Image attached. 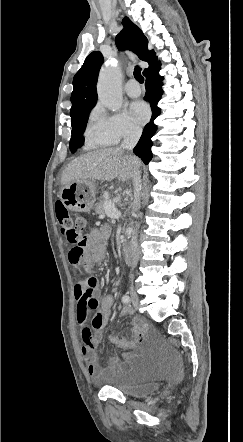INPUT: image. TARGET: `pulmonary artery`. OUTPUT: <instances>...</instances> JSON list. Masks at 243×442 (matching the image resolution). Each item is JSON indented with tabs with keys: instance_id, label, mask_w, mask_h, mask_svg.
<instances>
[{
	"instance_id": "pulmonary-artery-1",
	"label": "pulmonary artery",
	"mask_w": 243,
	"mask_h": 442,
	"mask_svg": "<svg viewBox=\"0 0 243 442\" xmlns=\"http://www.w3.org/2000/svg\"><path fill=\"white\" fill-rule=\"evenodd\" d=\"M125 91L130 97H138L141 93L140 86L135 79H130L125 85Z\"/></svg>"
}]
</instances>
